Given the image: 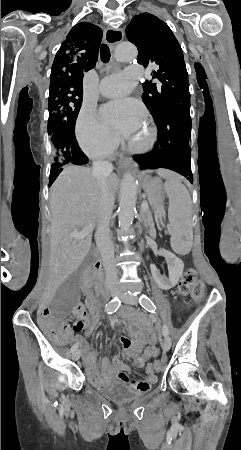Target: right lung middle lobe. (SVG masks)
Segmentation results:
<instances>
[{
	"mask_svg": "<svg viewBox=\"0 0 241 450\" xmlns=\"http://www.w3.org/2000/svg\"><path fill=\"white\" fill-rule=\"evenodd\" d=\"M82 97L83 89L70 85L50 88L48 133L51 144V171L70 164L69 147L62 133L74 132Z\"/></svg>",
	"mask_w": 241,
	"mask_h": 450,
	"instance_id": "obj_1",
	"label": "right lung middle lobe"
}]
</instances>
